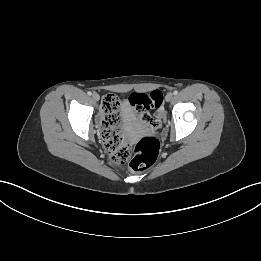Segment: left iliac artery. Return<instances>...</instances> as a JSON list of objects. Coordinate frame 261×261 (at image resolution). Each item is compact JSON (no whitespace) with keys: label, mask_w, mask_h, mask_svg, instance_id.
Wrapping results in <instances>:
<instances>
[{"label":"left iliac artery","mask_w":261,"mask_h":261,"mask_svg":"<svg viewBox=\"0 0 261 261\" xmlns=\"http://www.w3.org/2000/svg\"><path fill=\"white\" fill-rule=\"evenodd\" d=\"M173 94H174V95H177V94H178V91H177V90H175V91L173 92Z\"/></svg>","instance_id":"obj_1"}]
</instances>
